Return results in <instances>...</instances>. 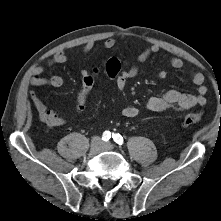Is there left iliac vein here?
<instances>
[{
	"instance_id": "left-iliac-vein-1",
	"label": "left iliac vein",
	"mask_w": 221,
	"mask_h": 221,
	"mask_svg": "<svg viewBox=\"0 0 221 221\" xmlns=\"http://www.w3.org/2000/svg\"><path fill=\"white\" fill-rule=\"evenodd\" d=\"M102 147L103 149H106V150H112L114 148V145L110 142H107V143H104Z\"/></svg>"
}]
</instances>
